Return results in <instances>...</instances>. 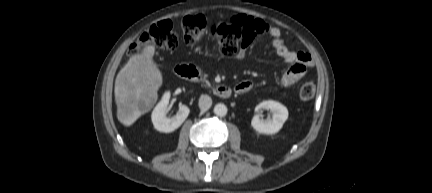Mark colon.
I'll use <instances>...</instances> for the list:
<instances>
[{
	"instance_id": "obj_1",
	"label": "colon",
	"mask_w": 432,
	"mask_h": 193,
	"mask_svg": "<svg viewBox=\"0 0 432 193\" xmlns=\"http://www.w3.org/2000/svg\"><path fill=\"white\" fill-rule=\"evenodd\" d=\"M181 36L175 31V25L165 20L153 24L146 29L138 41L130 47V54L139 53L146 45H152L161 50H174L180 41L189 46L196 45L207 31L208 25L204 16H185L179 21ZM210 35L215 50L222 56L231 57L246 47L252 40V32L235 23H215L210 26ZM316 93L313 82L304 83L299 91L302 100H311Z\"/></svg>"
}]
</instances>
